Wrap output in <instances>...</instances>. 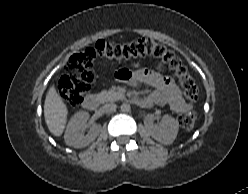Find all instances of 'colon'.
I'll return each instance as SVG.
<instances>
[{"label":"colon","mask_w":248,"mask_h":194,"mask_svg":"<svg viewBox=\"0 0 248 194\" xmlns=\"http://www.w3.org/2000/svg\"><path fill=\"white\" fill-rule=\"evenodd\" d=\"M145 56H152L165 63L179 79L188 99L198 98V86L180 59L165 45L151 39H138L123 43L99 40L95 46L73 54L66 63L64 74L59 80V94L70 105H79L89 92L94 80L93 60L96 57L107 60H128ZM130 73V71L121 70L117 72V77L121 80H128ZM196 120L197 115L193 111L186 112L179 117L180 124L187 129L192 128Z\"/></svg>","instance_id":"obj_1"}]
</instances>
